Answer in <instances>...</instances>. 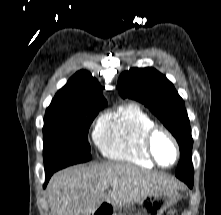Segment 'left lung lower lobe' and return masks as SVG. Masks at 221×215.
<instances>
[{
    "label": "left lung lower lobe",
    "mask_w": 221,
    "mask_h": 215,
    "mask_svg": "<svg viewBox=\"0 0 221 215\" xmlns=\"http://www.w3.org/2000/svg\"><path fill=\"white\" fill-rule=\"evenodd\" d=\"M182 181H184L190 188L193 187V181L191 180H182Z\"/></svg>",
    "instance_id": "0a47b994"
}]
</instances>
